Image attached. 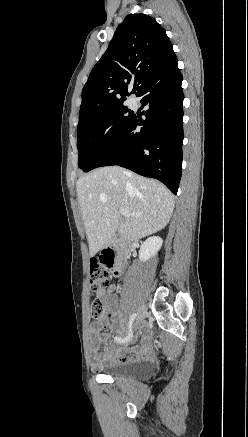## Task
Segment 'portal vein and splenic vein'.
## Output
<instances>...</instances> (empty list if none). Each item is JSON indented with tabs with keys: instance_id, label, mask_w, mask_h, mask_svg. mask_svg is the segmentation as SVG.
Returning a JSON list of instances; mask_svg holds the SVG:
<instances>
[{
	"instance_id": "portal-vein-and-splenic-vein-1",
	"label": "portal vein and splenic vein",
	"mask_w": 248,
	"mask_h": 437,
	"mask_svg": "<svg viewBox=\"0 0 248 437\" xmlns=\"http://www.w3.org/2000/svg\"><path fill=\"white\" fill-rule=\"evenodd\" d=\"M119 212L121 215L125 216V217H129L130 214L127 210H125L124 208H120ZM141 214H136V216H140ZM132 216H135V214H132Z\"/></svg>"
}]
</instances>
